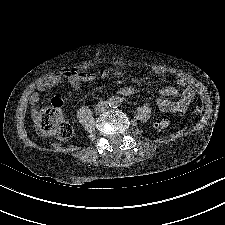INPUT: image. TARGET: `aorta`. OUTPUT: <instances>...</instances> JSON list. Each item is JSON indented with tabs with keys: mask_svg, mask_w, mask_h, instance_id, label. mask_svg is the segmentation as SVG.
Wrapping results in <instances>:
<instances>
[{
	"mask_svg": "<svg viewBox=\"0 0 225 225\" xmlns=\"http://www.w3.org/2000/svg\"><path fill=\"white\" fill-rule=\"evenodd\" d=\"M120 103H121L120 97L113 96L112 98H110L109 105L111 107H118L120 105Z\"/></svg>",
	"mask_w": 225,
	"mask_h": 225,
	"instance_id": "obj_1",
	"label": "aorta"
}]
</instances>
